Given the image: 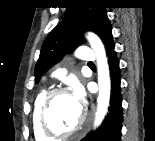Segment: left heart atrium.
<instances>
[{
    "label": "left heart atrium",
    "instance_id": "1",
    "mask_svg": "<svg viewBox=\"0 0 155 141\" xmlns=\"http://www.w3.org/2000/svg\"><path fill=\"white\" fill-rule=\"evenodd\" d=\"M70 95L74 102L82 109L84 105V93L82 88L79 85H75Z\"/></svg>",
    "mask_w": 155,
    "mask_h": 141
}]
</instances>
